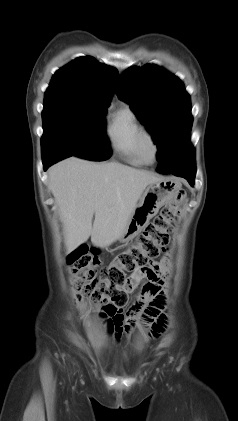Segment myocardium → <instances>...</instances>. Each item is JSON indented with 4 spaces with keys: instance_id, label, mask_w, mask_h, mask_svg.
Masks as SVG:
<instances>
[{
    "instance_id": "myocardium-1",
    "label": "myocardium",
    "mask_w": 238,
    "mask_h": 421,
    "mask_svg": "<svg viewBox=\"0 0 238 421\" xmlns=\"http://www.w3.org/2000/svg\"><path fill=\"white\" fill-rule=\"evenodd\" d=\"M139 148L147 163H152L156 160L159 153V146L150 131L143 129L140 133Z\"/></svg>"
}]
</instances>
